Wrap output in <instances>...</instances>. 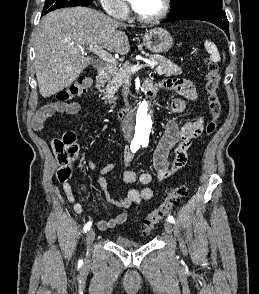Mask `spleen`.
<instances>
[{"instance_id":"3e777b00","label":"spleen","mask_w":259,"mask_h":294,"mask_svg":"<svg viewBox=\"0 0 259 294\" xmlns=\"http://www.w3.org/2000/svg\"><path fill=\"white\" fill-rule=\"evenodd\" d=\"M204 46L206 51L210 54V58L212 61L214 62L220 61L221 58H220L219 51L213 42L206 40L204 43Z\"/></svg>"}]
</instances>
